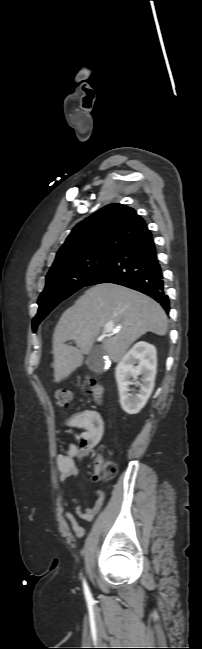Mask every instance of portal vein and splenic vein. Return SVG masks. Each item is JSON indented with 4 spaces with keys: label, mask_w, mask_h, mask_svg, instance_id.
<instances>
[{
    "label": "portal vein and splenic vein",
    "mask_w": 202,
    "mask_h": 649,
    "mask_svg": "<svg viewBox=\"0 0 202 649\" xmlns=\"http://www.w3.org/2000/svg\"><path fill=\"white\" fill-rule=\"evenodd\" d=\"M105 332H110L112 330V326L110 324H107L104 328Z\"/></svg>",
    "instance_id": "obj_1"
}]
</instances>
